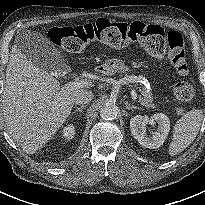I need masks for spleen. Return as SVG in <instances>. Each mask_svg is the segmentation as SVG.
<instances>
[{"label": "spleen", "mask_w": 205, "mask_h": 205, "mask_svg": "<svg viewBox=\"0 0 205 205\" xmlns=\"http://www.w3.org/2000/svg\"><path fill=\"white\" fill-rule=\"evenodd\" d=\"M203 119L202 110L193 109L183 115L173 127L169 155L174 156L186 149L196 138Z\"/></svg>", "instance_id": "1"}]
</instances>
